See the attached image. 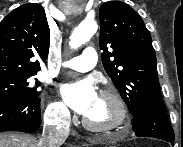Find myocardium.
<instances>
[{"label": "myocardium", "instance_id": "obj_1", "mask_svg": "<svg viewBox=\"0 0 183 147\" xmlns=\"http://www.w3.org/2000/svg\"><path fill=\"white\" fill-rule=\"evenodd\" d=\"M99 96L112 101L117 109V120L109 125H98L90 121L85 115L82 118V123L88 130L96 133H107L117 131L124 128L129 122V109L124 99L115 91L102 90Z\"/></svg>", "mask_w": 183, "mask_h": 147}]
</instances>
